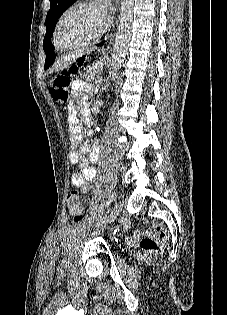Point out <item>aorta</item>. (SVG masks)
<instances>
[{
  "mask_svg": "<svg viewBox=\"0 0 227 315\" xmlns=\"http://www.w3.org/2000/svg\"><path fill=\"white\" fill-rule=\"evenodd\" d=\"M134 0H121L119 23L112 51L111 73L115 76L124 62L131 38Z\"/></svg>",
  "mask_w": 227,
  "mask_h": 315,
  "instance_id": "aorta-1",
  "label": "aorta"
}]
</instances>
